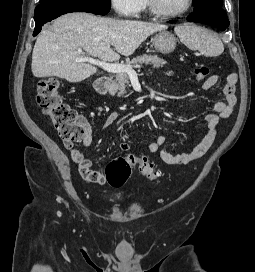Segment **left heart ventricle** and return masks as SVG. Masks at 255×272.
Returning a JSON list of instances; mask_svg holds the SVG:
<instances>
[{"instance_id": "1", "label": "left heart ventricle", "mask_w": 255, "mask_h": 272, "mask_svg": "<svg viewBox=\"0 0 255 272\" xmlns=\"http://www.w3.org/2000/svg\"><path fill=\"white\" fill-rule=\"evenodd\" d=\"M188 0H158L161 10L169 13L178 12L184 9Z\"/></svg>"}]
</instances>
